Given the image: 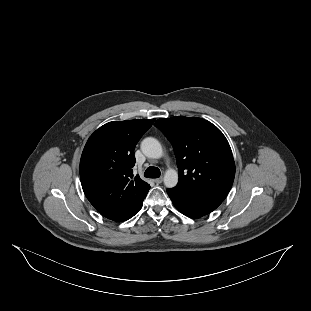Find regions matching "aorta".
I'll return each instance as SVG.
<instances>
[{
	"mask_svg": "<svg viewBox=\"0 0 311 311\" xmlns=\"http://www.w3.org/2000/svg\"><path fill=\"white\" fill-rule=\"evenodd\" d=\"M140 148L142 153L148 158L159 159L163 155V150L160 142L153 137H147L143 139ZM177 183V171L174 169L167 170L164 175V185L167 188H173L177 185Z\"/></svg>",
	"mask_w": 311,
	"mask_h": 311,
	"instance_id": "762f6f07",
	"label": "aorta"
}]
</instances>
